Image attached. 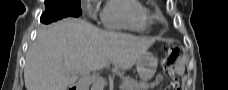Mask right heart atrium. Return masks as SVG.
Masks as SVG:
<instances>
[{"label":"right heart atrium","instance_id":"right-heart-atrium-1","mask_svg":"<svg viewBox=\"0 0 228 90\" xmlns=\"http://www.w3.org/2000/svg\"><path fill=\"white\" fill-rule=\"evenodd\" d=\"M90 1H85V3H89ZM89 15H90V13H89Z\"/></svg>","mask_w":228,"mask_h":90}]
</instances>
